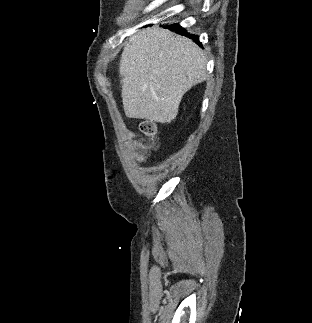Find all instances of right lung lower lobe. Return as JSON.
<instances>
[{
    "instance_id": "obj_1",
    "label": "right lung lower lobe",
    "mask_w": 312,
    "mask_h": 323,
    "mask_svg": "<svg viewBox=\"0 0 312 323\" xmlns=\"http://www.w3.org/2000/svg\"><path fill=\"white\" fill-rule=\"evenodd\" d=\"M165 28H168V29H170L172 31H175L176 33H179V34H182L184 36H187V37L193 39L197 44L201 45L199 40H198V36L191 35V34L187 33L186 30L183 29L178 24H172V25H169V26H165Z\"/></svg>"
}]
</instances>
